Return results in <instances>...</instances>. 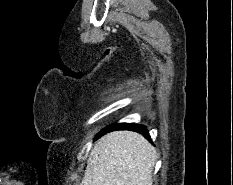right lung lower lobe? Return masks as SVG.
<instances>
[{
  "mask_svg": "<svg viewBox=\"0 0 233 185\" xmlns=\"http://www.w3.org/2000/svg\"><path fill=\"white\" fill-rule=\"evenodd\" d=\"M113 130H133V131H136L138 133H141L142 135H144V137H146L148 140L151 141L149 133H148L146 127L143 125H138V124H134V123L133 124H128V123L113 124V125L105 128L102 131L101 135L105 134L109 131H113Z\"/></svg>",
  "mask_w": 233,
  "mask_h": 185,
  "instance_id": "right-lung-lower-lobe-1",
  "label": "right lung lower lobe"
}]
</instances>
